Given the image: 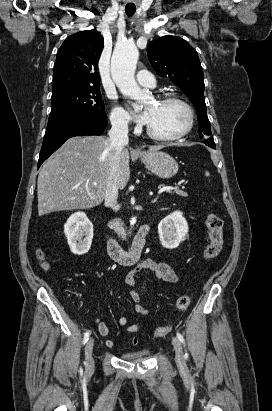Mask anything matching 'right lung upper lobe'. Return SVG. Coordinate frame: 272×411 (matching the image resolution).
<instances>
[{
	"label": "right lung upper lobe",
	"instance_id": "right-lung-upper-lobe-1",
	"mask_svg": "<svg viewBox=\"0 0 272 411\" xmlns=\"http://www.w3.org/2000/svg\"><path fill=\"white\" fill-rule=\"evenodd\" d=\"M104 39L95 30L69 36L57 53L52 95L72 88L100 86L97 63Z\"/></svg>",
	"mask_w": 272,
	"mask_h": 411
}]
</instances>
